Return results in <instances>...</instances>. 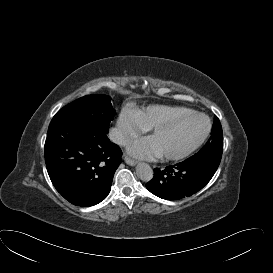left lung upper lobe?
Masks as SVG:
<instances>
[{"mask_svg":"<svg viewBox=\"0 0 273 273\" xmlns=\"http://www.w3.org/2000/svg\"><path fill=\"white\" fill-rule=\"evenodd\" d=\"M222 151L223 132L221 123L218 117L215 115L209 140L200 149L199 152H197L195 155L191 156L187 160L206 163L217 169L221 161Z\"/></svg>","mask_w":273,"mask_h":273,"instance_id":"5c2ea615","label":"left lung upper lobe"}]
</instances>
